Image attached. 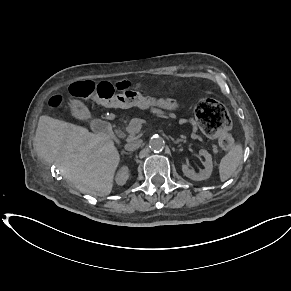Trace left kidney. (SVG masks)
Masks as SVG:
<instances>
[{"label":"left kidney","mask_w":291,"mask_h":291,"mask_svg":"<svg viewBox=\"0 0 291 291\" xmlns=\"http://www.w3.org/2000/svg\"><path fill=\"white\" fill-rule=\"evenodd\" d=\"M199 154L205 158V164H204L205 169L199 174L195 173L193 169H190L187 164L182 165V171L184 175L195 181L208 179L211 176L212 171H213V162H212L211 154H209L204 149H201L199 151Z\"/></svg>","instance_id":"left-kidney-1"}]
</instances>
